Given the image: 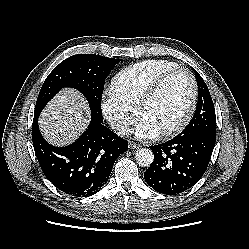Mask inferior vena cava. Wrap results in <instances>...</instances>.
Here are the masks:
<instances>
[{"label":"inferior vena cava","instance_id":"obj_1","mask_svg":"<svg viewBox=\"0 0 249 249\" xmlns=\"http://www.w3.org/2000/svg\"><path fill=\"white\" fill-rule=\"evenodd\" d=\"M111 128L116 132L118 135H129L132 133V129L126 123L120 121H113L111 122Z\"/></svg>","mask_w":249,"mask_h":249}]
</instances>
